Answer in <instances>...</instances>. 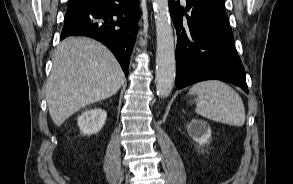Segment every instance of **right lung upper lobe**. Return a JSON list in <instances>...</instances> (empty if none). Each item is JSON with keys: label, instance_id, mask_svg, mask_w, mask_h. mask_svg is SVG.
Returning a JSON list of instances; mask_svg holds the SVG:
<instances>
[{"label": "right lung upper lobe", "instance_id": "cb5924a9", "mask_svg": "<svg viewBox=\"0 0 293 184\" xmlns=\"http://www.w3.org/2000/svg\"><path fill=\"white\" fill-rule=\"evenodd\" d=\"M83 1H87V0H69L68 8H71V7H74L76 5H79Z\"/></svg>", "mask_w": 293, "mask_h": 184}]
</instances>
